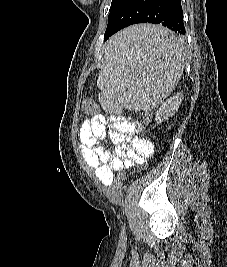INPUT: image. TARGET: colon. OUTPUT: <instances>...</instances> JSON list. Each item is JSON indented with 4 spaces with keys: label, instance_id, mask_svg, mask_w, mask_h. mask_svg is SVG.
Instances as JSON below:
<instances>
[{
    "label": "colon",
    "instance_id": "1",
    "mask_svg": "<svg viewBox=\"0 0 227 267\" xmlns=\"http://www.w3.org/2000/svg\"><path fill=\"white\" fill-rule=\"evenodd\" d=\"M146 105H143V108H145ZM83 109L87 113H95L98 111V106L89 100H85L83 102ZM130 112H137V109H130ZM138 115L141 116V124L142 125H150L154 124L155 118L157 117L156 113H150V111H139ZM152 120V121H150ZM127 165H130V162H127ZM133 171V166H124V169H120L115 173V178H128L129 174H131Z\"/></svg>",
    "mask_w": 227,
    "mask_h": 267
}]
</instances>
